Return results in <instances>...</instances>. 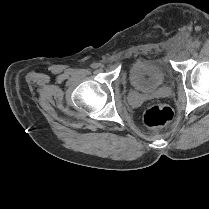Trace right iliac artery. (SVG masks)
<instances>
[{
    "instance_id": "right-iliac-artery-1",
    "label": "right iliac artery",
    "mask_w": 209,
    "mask_h": 209,
    "mask_svg": "<svg viewBox=\"0 0 209 209\" xmlns=\"http://www.w3.org/2000/svg\"><path fill=\"white\" fill-rule=\"evenodd\" d=\"M91 67L95 69V68L98 67V64L97 63H93V64H91Z\"/></svg>"
}]
</instances>
